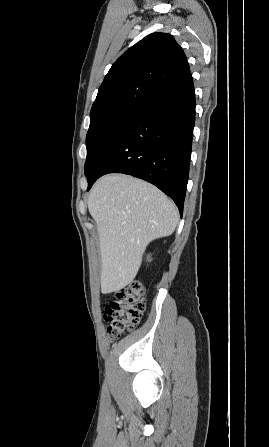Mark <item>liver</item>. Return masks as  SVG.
Masks as SVG:
<instances>
[{"label":"liver","instance_id":"1","mask_svg":"<svg viewBox=\"0 0 269 447\" xmlns=\"http://www.w3.org/2000/svg\"><path fill=\"white\" fill-rule=\"evenodd\" d=\"M88 210L98 225L102 293L131 283L149 241L171 235L179 220L170 198L132 176L100 178L89 194Z\"/></svg>","mask_w":269,"mask_h":447}]
</instances>
